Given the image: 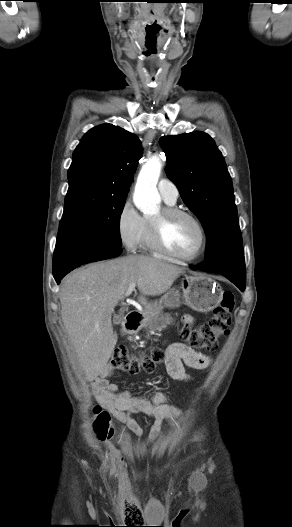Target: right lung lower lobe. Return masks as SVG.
Here are the masks:
<instances>
[{"label": "right lung lower lobe", "mask_w": 292, "mask_h": 527, "mask_svg": "<svg viewBox=\"0 0 292 527\" xmlns=\"http://www.w3.org/2000/svg\"><path fill=\"white\" fill-rule=\"evenodd\" d=\"M120 246L107 240L91 237H60L53 256V276L59 284L61 279L76 267L94 261L117 257Z\"/></svg>", "instance_id": "1"}]
</instances>
